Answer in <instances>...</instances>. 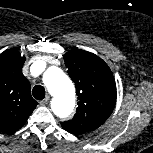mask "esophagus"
<instances>
[{"mask_svg":"<svg viewBox=\"0 0 153 153\" xmlns=\"http://www.w3.org/2000/svg\"><path fill=\"white\" fill-rule=\"evenodd\" d=\"M50 100L49 96H46L43 100H41L39 103L40 105H46Z\"/></svg>","mask_w":153,"mask_h":153,"instance_id":"1","label":"esophagus"}]
</instances>
